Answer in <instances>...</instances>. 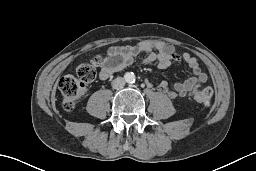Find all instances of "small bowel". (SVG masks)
<instances>
[{
  "label": "small bowel",
  "mask_w": 256,
  "mask_h": 171,
  "mask_svg": "<svg viewBox=\"0 0 256 171\" xmlns=\"http://www.w3.org/2000/svg\"><path fill=\"white\" fill-rule=\"evenodd\" d=\"M138 55H143L142 63L156 62L161 69L168 68L173 62H184L190 68L192 75L184 81L175 82L172 89L166 80L158 84L157 89L170 99L185 97L207 81V74L194 56L187 52L178 55L172 44L163 41H142L135 45L109 48L100 63V79L106 80L115 72L130 66ZM146 84L151 86L148 80Z\"/></svg>",
  "instance_id": "obj_1"
}]
</instances>
